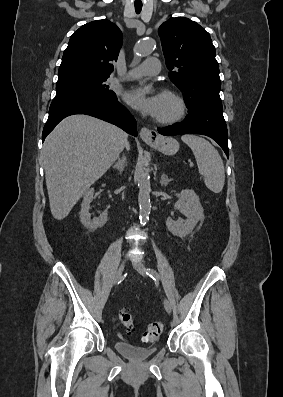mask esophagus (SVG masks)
Instances as JSON below:
<instances>
[{
	"instance_id": "34e87169",
	"label": "esophagus",
	"mask_w": 283,
	"mask_h": 397,
	"mask_svg": "<svg viewBox=\"0 0 283 397\" xmlns=\"http://www.w3.org/2000/svg\"><path fill=\"white\" fill-rule=\"evenodd\" d=\"M140 137L148 143L156 142L159 138L158 133L155 130H150L146 127L141 128Z\"/></svg>"
}]
</instances>
